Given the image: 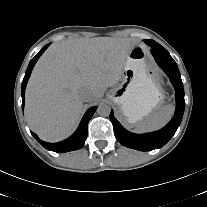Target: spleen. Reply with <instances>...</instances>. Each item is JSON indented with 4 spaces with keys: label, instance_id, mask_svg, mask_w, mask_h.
Masks as SVG:
<instances>
[{
    "label": "spleen",
    "instance_id": "spleen-1",
    "mask_svg": "<svg viewBox=\"0 0 207 207\" xmlns=\"http://www.w3.org/2000/svg\"><path fill=\"white\" fill-rule=\"evenodd\" d=\"M174 114V105L168 104L163 106L159 111L141 120L135 125L134 131L143 133L154 131L165 126Z\"/></svg>",
    "mask_w": 207,
    "mask_h": 207
}]
</instances>
